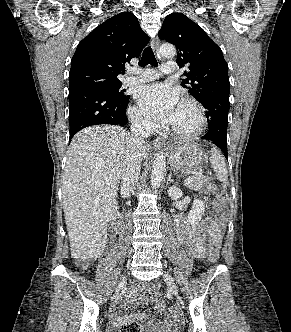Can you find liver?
Segmentation results:
<instances>
[{"mask_svg": "<svg viewBox=\"0 0 291 332\" xmlns=\"http://www.w3.org/2000/svg\"><path fill=\"white\" fill-rule=\"evenodd\" d=\"M130 137L121 127L101 125L81 130L70 143L62 192L72 258L96 259L104 252ZM150 150L143 145L142 156Z\"/></svg>", "mask_w": 291, "mask_h": 332, "instance_id": "1", "label": "liver"}]
</instances>
